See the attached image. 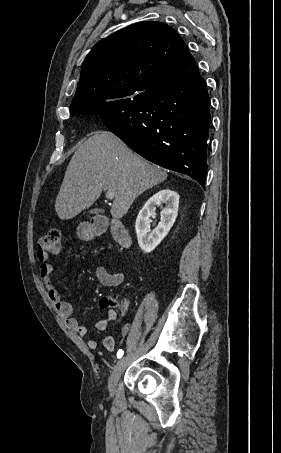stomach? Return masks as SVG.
<instances>
[{
  "mask_svg": "<svg viewBox=\"0 0 281 453\" xmlns=\"http://www.w3.org/2000/svg\"><path fill=\"white\" fill-rule=\"evenodd\" d=\"M89 231H83V229H78V235L79 237H83V235H88Z\"/></svg>",
  "mask_w": 281,
  "mask_h": 453,
  "instance_id": "obj_1",
  "label": "stomach"
}]
</instances>
